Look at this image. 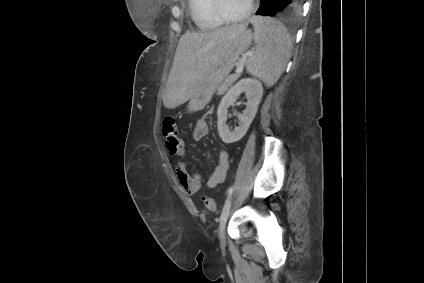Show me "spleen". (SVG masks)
Listing matches in <instances>:
<instances>
[{
    "label": "spleen",
    "mask_w": 424,
    "mask_h": 283,
    "mask_svg": "<svg viewBox=\"0 0 424 283\" xmlns=\"http://www.w3.org/2000/svg\"><path fill=\"white\" fill-rule=\"evenodd\" d=\"M254 54L245 63L247 72L273 86L291 57L292 40L287 29L274 19L254 16Z\"/></svg>",
    "instance_id": "obj_1"
}]
</instances>
